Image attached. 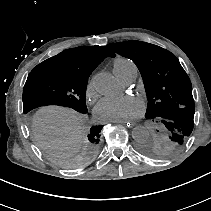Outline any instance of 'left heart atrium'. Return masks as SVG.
<instances>
[{"label":"left heart atrium","mask_w":211,"mask_h":211,"mask_svg":"<svg viewBox=\"0 0 211 211\" xmlns=\"http://www.w3.org/2000/svg\"><path fill=\"white\" fill-rule=\"evenodd\" d=\"M143 101L134 95L104 97L94 108L95 117L101 122L138 118L144 113Z\"/></svg>","instance_id":"39dd6f15"}]
</instances>
